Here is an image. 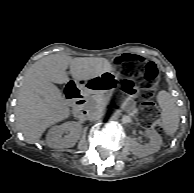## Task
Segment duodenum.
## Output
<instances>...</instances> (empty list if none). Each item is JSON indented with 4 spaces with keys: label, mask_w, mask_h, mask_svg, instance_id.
<instances>
[{
    "label": "duodenum",
    "mask_w": 194,
    "mask_h": 193,
    "mask_svg": "<svg viewBox=\"0 0 194 193\" xmlns=\"http://www.w3.org/2000/svg\"><path fill=\"white\" fill-rule=\"evenodd\" d=\"M66 95L69 99H71V104L75 115L86 114L88 98L86 95L81 94L80 90L74 83L68 84Z\"/></svg>",
    "instance_id": "1"
}]
</instances>
